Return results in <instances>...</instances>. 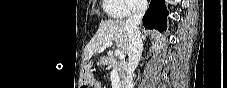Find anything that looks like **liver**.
<instances>
[{
  "label": "liver",
  "instance_id": "6515ba94",
  "mask_svg": "<svg viewBox=\"0 0 227 88\" xmlns=\"http://www.w3.org/2000/svg\"><path fill=\"white\" fill-rule=\"evenodd\" d=\"M157 33L153 31L152 38ZM115 41L116 46L123 53H128V30L125 22L121 20L103 21L94 37L88 43L84 51V60L88 61L95 53L100 52L109 41Z\"/></svg>",
  "mask_w": 227,
  "mask_h": 88
}]
</instances>
